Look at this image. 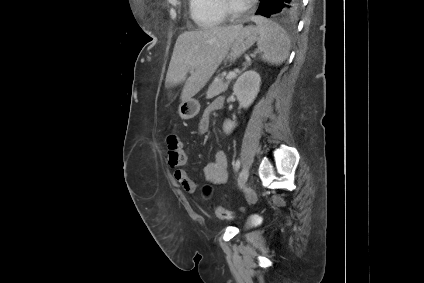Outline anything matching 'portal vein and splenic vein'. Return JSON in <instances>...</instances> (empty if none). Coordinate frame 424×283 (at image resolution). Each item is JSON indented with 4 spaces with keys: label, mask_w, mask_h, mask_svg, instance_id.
<instances>
[{
    "label": "portal vein and splenic vein",
    "mask_w": 424,
    "mask_h": 283,
    "mask_svg": "<svg viewBox=\"0 0 424 283\" xmlns=\"http://www.w3.org/2000/svg\"><path fill=\"white\" fill-rule=\"evenodd\" d=\"M235 75H236V72H235V71L230 72V73L226 76V80H230V79H232L233 77H235Z\"/></svg>",
    "instance_id": "18ae733b"
}]
</instances>
